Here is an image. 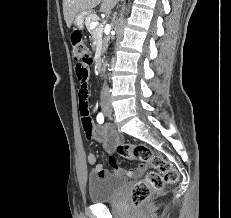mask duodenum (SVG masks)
<instances>
[{
	"label": "duodenum",
	"mask_w": 231,
	"mask_h": 218,
	"mask_svg": "<svg viewBox=\"0 0 231 218\" xmlns=\"http://www.w3.org/2000/svg\"><path fill=\"white\" fill-rule=\"evenodd\" d=\"M94 66L97 70L100 69V66H101V55L99 52H97L95 54V57H94Z\"/></svg>",
	"instance_id": "410a0bca"
}]
</instances>
